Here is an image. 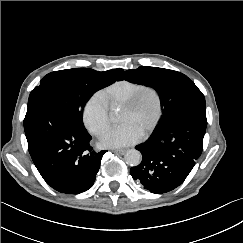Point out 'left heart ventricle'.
I'll list each match as a JSON object with an SVG mask.
<instances>
[{"label": "left heart ventricle", "mask_w": 243, "mask_h": 243, "mask_svg": "<svg viewBox=\"0 0 243 243\" xmlns=\"http://www.w3.org/2000/svg\"><path fill=\"white\" fill-rule=\"evenodd\" d=\"M157 113V99L155 95L147 91L136 109H123L121 113V123H130L144 133L153 123Z\"/></svg>", "instance_id": "1"}]
</instances>
